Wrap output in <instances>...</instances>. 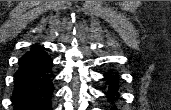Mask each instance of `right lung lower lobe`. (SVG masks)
Returning <instances> with one entry per match:
<instances>
[{
  "mask_svg": "<svg viewBox=\"0 0 171 110\" xmlns=\"http://www.w3.org/2000/svg\"><path fill=\"white\" fill-rule=\"evenodd\" d=\"M18 64L11 98L15 110H52L54 73L52 60L44 47L31 46Z\"/></svg>",
  "mask_w": 171,
  "mask_h": 110,
  "instance_id": "98d812e1",
  "label": "right lung lower lobe"
}]
</instances>
